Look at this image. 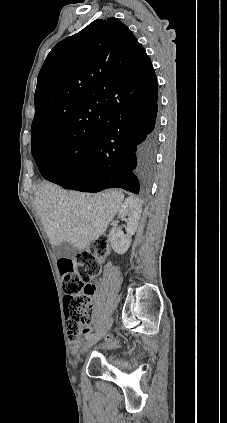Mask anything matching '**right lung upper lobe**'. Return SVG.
Returning a JSON list of instances; mask_svg holds the SVG:
<instances>
[{
  "mask_svg": "<svg viewBox=\"0 0 227 423\" xmlns=\"http://www.w3.org/2000/svg\"><path fill=\"white\" fill-rule=\"evenodd\" d=\"M156 91L152 63L129 28L114 17L95 20L48 54L34 96L32 142H95L111 120L109 107Z\"/></svg>",
  "mask_w": 227,
  "mask_h": 423,
  "instance_id": "right-lung-upper-lobe-1",
  "label": "right lung upper lobe"
}]
</instances>
